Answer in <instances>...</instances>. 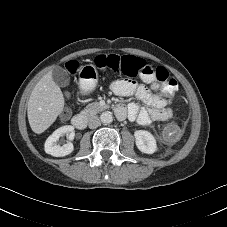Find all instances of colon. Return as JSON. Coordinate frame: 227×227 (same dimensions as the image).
Returning <instances> with one entry per match:
<instances>
[{
    "instance_id": "colon-1",
    "label": "colon",
    "mask_w": 227,
    "mask_h": 227,
    "mask_svg": "<svg viewBox=\"0 0 227 227\" xmlns=\"http://www.w3.org/2000/svg\"><path fill=\"white\" fill-rule=\"evenodd\" d=\"M96 66L104 71H111L116 74H124L130 77L149 76L163 84L164 91L172 96L178 90V83L175 79L169 78L168 71L162 66L145 65L143 61L136 57L127 56L119 57L117 55L104 56L99 55L95 59ZM78 65L72 64L70 71L74 72ZM184 129V124L181 125V130Z\"/></svg>"
}]
</instances>
